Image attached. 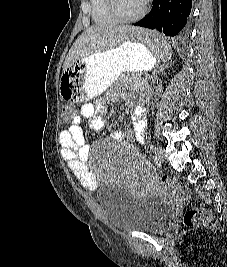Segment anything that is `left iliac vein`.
Listing matches in <instances>:
<instances>
[{"mask_svg": "<svg viewBox=\"0 0 227 267\" xmlns=\"http://www.w3.org/2000/svg\"><path fill=\"white\" fill-rule=\"evenodd\" d=\"M165 153L163 151V149L159 146H156L155 147V161L158 163V164H163L165 162Z\"/></svg>", "mask_w": 227, "mask_h": 267, "instance_id": "obj_1", "label": "left iliac vein"}]
</instances>
